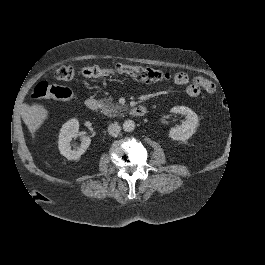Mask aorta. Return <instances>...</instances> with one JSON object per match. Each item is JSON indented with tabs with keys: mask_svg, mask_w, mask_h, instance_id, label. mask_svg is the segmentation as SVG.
Segmentation results:
<instances>
[{
	"mask_svg": "<svg viewBox=\"0 0 265 265\" xmlns=\"http://www.w3.org/2000/svg\"><path fill=\"white\" fill-rule=\"evenodd\" d=\"M122 128L125 132H132L135 129L134 121L132 120L124 121Z\"/></svg>",
	"mask_w": 265,
	"mask_h": 265,
	"instance_id": "aorta-1",
	"label": "aorta"
}]
</instances>
